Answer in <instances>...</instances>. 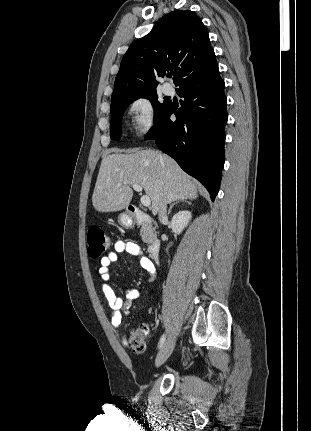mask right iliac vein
<instances>
[{"mask_svg": "<svg viewBox=\"0 0 311 431\" xmlns=\"http://www.w3.org/2000/svg\"><path fill=\"white\" fill-rule=\"evenodd\" d=\"M175 336H170L157 355L155 366H161L171 355L175 346Z\"/></svg>", "mask_w": 311, "mask_h": 431, "instance_id": "1", "label": "right iliac vein"}]
</instances>
